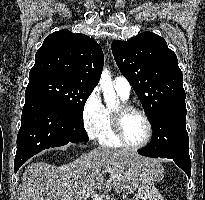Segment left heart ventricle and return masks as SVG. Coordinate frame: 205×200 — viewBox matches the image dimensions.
I'll return each mask as SVG.
<instances>
[{
    "label": "left heart ventricle",
    "instance_id": "obj_1",
    "mask_svg": "<svg viewBox=\"0 0 205 200\" xmlns=\"http://www.w3.org/2000/svg\"><path fill=\"white\" fill-rule=\"evenodd\" d=\"M116 108L115 110H117ZM114 110V111H115ZM123 131L126 140L133 145L142 143L147 136V125L139 114L132 113L123 121Z\"/></svg>",
    "mask_w": 205,
    "mask_h": 200
}]
</instances>
